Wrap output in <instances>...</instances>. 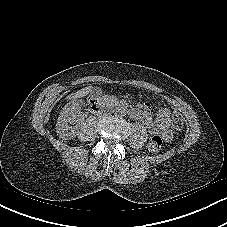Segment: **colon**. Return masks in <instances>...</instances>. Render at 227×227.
Returning a JSON list of instances; mask_svg holds the SVG:
<instances>
[{
  "label": "colon",
  "instance_id": "1",
  "mask_svg": "<svg viewBox=\"0 0 227 227\" xmlns=\"http://www.w3.org/2000/svg\"><path fill=\"white\" fill-rule=\"evenodd\" d=\"M171 126L174 130H180L183 127V118L182 116L175 112L171 117ZM163 138L159 135L153 136L147 144V151L151 154H155L162 149Z\"/></svg>",
  "mask_w": 227,
  "mask_h": 227
}]
</instances>
